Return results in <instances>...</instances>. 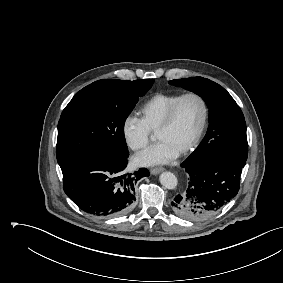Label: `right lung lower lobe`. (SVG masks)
<instances>
[{
  "instance_id": "98d812e1",
  "label": "right lung lower lobe",
  "mask_w": 283,
  "mask_h": 283,
  "mask_svg": "<svg viewBox=\"0 0 283 283\" xmlns=\"http://www.w3.org/2000/svg\"><path fill=\"white\" fill-rule=\"evenodd\" d=\"M128 155L90 153L61 167L63 189L83 211L98 217L129 212L135 199L136 182L149 175L146 168L124 174Z\"/></svg>"
}]
</instances>
